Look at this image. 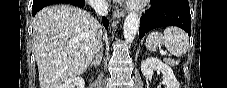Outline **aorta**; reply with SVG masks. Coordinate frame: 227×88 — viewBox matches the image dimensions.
<instances>
[{"label":"aorta","mask_w":227,"mask_h":88,"mask_svg":"<svg viewBox=\"0 0 227 88\" xmlns=\"http://www.w3.org/2000/svg\"><path fill=\"white\" fill-rule=\"evenodd\" d=\"M139 24L140 19L138 15L135 12H130L126 17L123 26V34L126 42L131 43L134 40L139 29Z\"/></svg>","instance_id":"1"}]
</instances>
